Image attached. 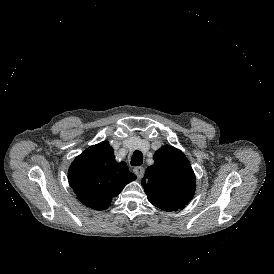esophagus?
<instances>
[{"label":"esophagus","instance_id":"obj_1","mask_svg":"<svg viewBox=\"0 0 274 274\" xmlns=\"http://www.w3.org/2000/svg\"><path fill=\"white\" fill-rule=\"evenodd\" d=\"M133 172L137 175L138 178H142L144 175V167L142 166L134 167Z\"/></svg>","mask_w":274,"mask_h":274}]
</instances>
